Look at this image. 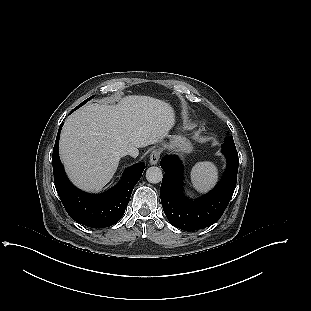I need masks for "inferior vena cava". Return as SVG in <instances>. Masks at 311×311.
Masks as SVG:
<instances>
[{
  "label": "inferior vena cava",
  "mask_w": 311,
  "mask_h": 311,
  "mask_svg": "<svg viewBox=\"0 0 311 311\" xmlns=\"http://www.w3.org/2000/svg\"><path fill=\"white\" fill-rule=\"evenodd\" d=\"M137 147L136 146H128L125 150H124V153L127 155V156H134L137 154Z\"/></svg>",
  "instance_id": "inferior-vena-cava-1"
}]
</instances>
